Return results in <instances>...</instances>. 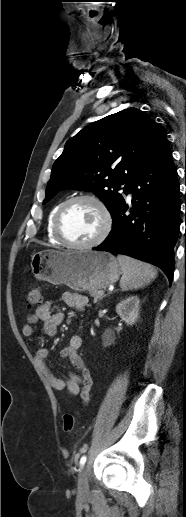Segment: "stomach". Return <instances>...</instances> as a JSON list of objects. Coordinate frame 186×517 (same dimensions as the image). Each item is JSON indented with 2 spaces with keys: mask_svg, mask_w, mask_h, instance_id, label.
Segmentation results:
<instances>
[{
  "mask_svg": "<svg viewBox=\"0 0 186 517\" xmlns=\"http://www.w3.org/2000/svg\"><path fill=\"white\" fill-rule=\"evenodd\" d=\"M31 267L37 279L64 284L74 291L104 289L122 273L112 254L91 250L40 251L32 255Z\"/></svg>",
  "mask_w": 186,
  "mask_h": 517,
  "instance_id": "obj_1",
  "label": "stomach"
}]
</instances>
